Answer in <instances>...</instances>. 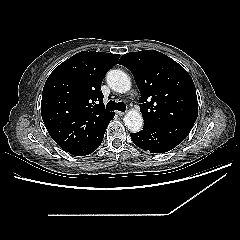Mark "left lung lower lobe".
<instances>
[{
  "instance_id": "0a47b994",
  "label": "left lung lower lobe",
  "mask_w": 240,
  "mask_h": 240,
  "mask_svg": "<svg viewBox=\"0 0 240 240\" xmlns=\"http://www.w3.org/2000/svg\"><path fill=\"white\" fill-rule=\"evenodd\" d=\"M194 124H146L131 139L139 148L150 153H165L180 144L190 133Z\"/></svg>"
}]
</instances>
